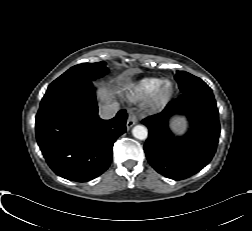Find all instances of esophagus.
Masks as SVG:
<instances>
[{
  "label": "esophagus",
  "instance_id": "34e87169",
  "mask_svg": "<svg viewBox=\"0 0 252 231\" xmlns=\"http://www.w3.org/2000/svg\"><path fill=\"white\" fill-rule=\"evenodd\" d=\"M138 119L136 117L135 114H130L128 119H127V123H126V127L127 129H130L131 127H133L136 123H137Z\"/></svg>",
  "mask_w": 252,
  "mask_h": 231
}]
</instances>
